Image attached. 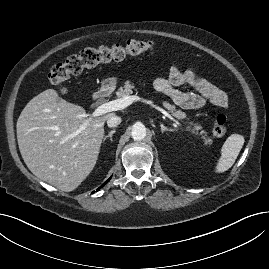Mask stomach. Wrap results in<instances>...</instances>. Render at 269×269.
<instances>
[{"mask_svg":"<svg viewBox=\"0 0 269 269\" xmlns=\"http://www.w3.org/2000/svg\"><path fill=\"white\" fill-rule=\"evenodd\" d=\"M116 81H117V79L115 77H111V78L104 80L102 82L101 89L106 90V91L114 89L116 86Z\"/></svg>","mask_w":269,"mask_h":269,"instance_id":"0dacf381","label":"stomach"}]
</instances>
